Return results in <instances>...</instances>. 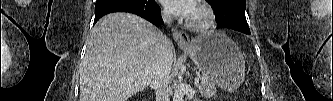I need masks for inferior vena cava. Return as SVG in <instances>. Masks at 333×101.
Instances as JSON below:
<instances>
[{"label":"inferior vena cava","instance_id":"inferior-vena-cava-1","mask_svg":"<svg viewBox=\"0 0 333 101\" xmlns=\"http://www.w3.org/2000/svg\"><path fill=\"white\" fill-rule=\"evenodd\" d=\"M164 23L169 25L172 21L171 12L164 10L162 13ZM172 45L164 37L157 49V58L153 73L152 84L156 92V101H169L170 71L172 67Z\"/></svg>","mask_w":333,"mask_h":101}]
</instances>
